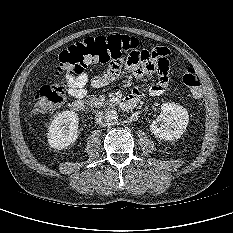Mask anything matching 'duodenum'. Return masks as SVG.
I'll list each match as a JSON object with an SVG mask.
<instances>
[{"label":"duodenum","mask_w":233,"mask_h":233,"mask_svg":"<svg viewBox=\"0 0 233 233\" xmlns=\"http://www.w3.org/2000/svg\"><path fill=\"white\" fill-rule=\"evenodd\" d=\"M138 102H139V97L130 94L122 98L118 102V105L124 110H131L137 105ZM85 107L86 105L82 100H75L72 102V109L74 111L82 112L85 110Z\"/></svg>","instance_id":"duodenum-1"}]
</instances>
